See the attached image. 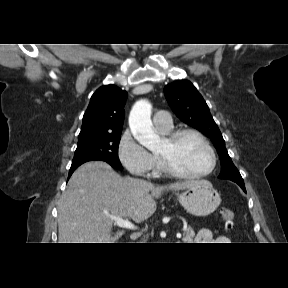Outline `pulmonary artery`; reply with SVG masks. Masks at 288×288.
I'll list each match as a JSON object with an SVG mask.
<instances>
[{
  "label": "pulmonary artery",
  "instance_id": "obj_1",
  "mask_svg": "<svg viewBox=\"0 0 288 288\" xmlns=\"http://www.w3.org/2000/svg\"><path fill=\"white\" fill-rule=\"evenodd\" d=\"M153 122L155 127L161 131H169L173 126L171 115L167 111L157 112L154 116Z\"/></svg>",
  "mask_w": 288,
  "mask_h": 288
}]
</instances>
